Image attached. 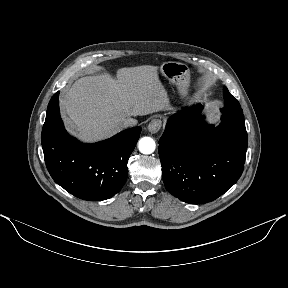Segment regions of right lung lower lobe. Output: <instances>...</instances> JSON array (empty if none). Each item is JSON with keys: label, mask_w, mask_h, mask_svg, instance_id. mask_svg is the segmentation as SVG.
Wrapping results in <instances>:
<instances>
[{"label": "right lung lower lobe", "mask_w": 288, "mask_h": 288, "mask_svg": "<svg viewBox=\"0 0 288 288\" xmlns=\"http://www.w3.org/2000/svg\"><path fill=\"white\" fill-rule=\"evenodd\" d=\"M59 92L51 98L42 130L46 167L53 180L83 200H105L126 182L127 162L141 127L124 130L105 141L84 144L69 136L59 112Z\"/></svg>", "instance_id": "obj_1"}]
</instances>
